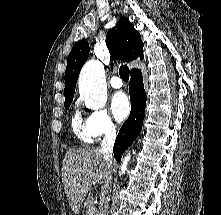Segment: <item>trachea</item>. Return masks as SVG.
I'll return each instance as SVG.
<instances>
[{
  "label": "trachea",
  "instance_id": "3493384b",
  "mask_svg": "<svg viewBox=\"0 0 221 215\" xmlns=\"http://www.w3.org/2000/svg\"><path fill=\"white\" fill-rule=\"evenodd\" d=\"M119 75L123 81L127 82L129 80V68L127 65H121Z\"/></svg>",
  "mask_w": 221,
  "mask_h": 215
}]
</instances>
